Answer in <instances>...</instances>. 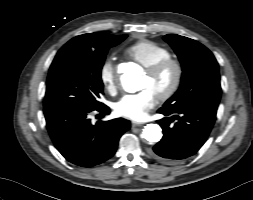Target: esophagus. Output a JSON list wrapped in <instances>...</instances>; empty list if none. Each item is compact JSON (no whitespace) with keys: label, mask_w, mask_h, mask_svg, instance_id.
Segmentation results:
<instances>
[{"label":"esophagus","mask_w":253,"mask_h":200,"mask_svg":"<svg viewBox=\"0 0 253 200\" xmlns=\"http://www.w3.org/2000/svg\"><path fill=\"white\" fill-rule=\"evenodd\" d=\"M142 124L141 123H136V122H133L132 123V127L135 128V127H141Z\"/></svg>","instance_id":"obj_1"}]
</instances>
